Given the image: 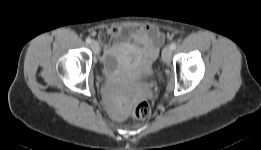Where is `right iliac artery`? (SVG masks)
<instances>
[{
	"mask_svg": "<svg viewBox=\"0 0 261 150\" xmlns=\"http://www.w3.org/2000/svg\"><path fill=\"white\" fill-rule=\"evenodd\" d=\"M92 42L91 38H86V43L90 44Z\"/></svg>",
	"mask_w": 261,
	"mask_h": 150,
	"instance_id": "82829eb1",
	"label": "right iliac artery"
}]
</instances>
